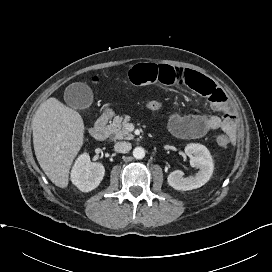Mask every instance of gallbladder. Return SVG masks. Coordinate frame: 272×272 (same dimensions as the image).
<instances>
[{
  "label": "gallbladder",
  "instance_id": "1",
  "mask_svg": "<svg viewBox=\"0 0 272 272\" xmlns=\"http://www.w3.org/2000/svg\"><path fill=\"white\" fill-rule=\"evenodd\" d=\"M64 100L74 109L88 108L93 102V93L84 83L70 84L64 91Z\"/></svg>",
  "mask_w": 272,
  "mask_h": 272
}]
</instances>
